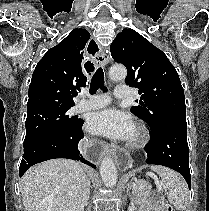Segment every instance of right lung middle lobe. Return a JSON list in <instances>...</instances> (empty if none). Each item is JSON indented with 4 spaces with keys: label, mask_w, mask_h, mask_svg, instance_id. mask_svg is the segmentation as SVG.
Here are the masks:
<instances>
[{
    "label": "right lung middle lobe",
    "mask_w": 209,
    "mask_h": 211,
    "mask_svg": "<svg viewBox=\"0 0 209 211\" xmlns=\"http://www.w3.org/2000/svg\"><path fill=\"white\" fill-rule=\"evenodd\" d=\"M70 108H43L27 112L24 151L58 132L78 126L82 120L70 117Z\"/></svg>",
    "instance_id": "dd1d6c3e"
}]
</instances>
